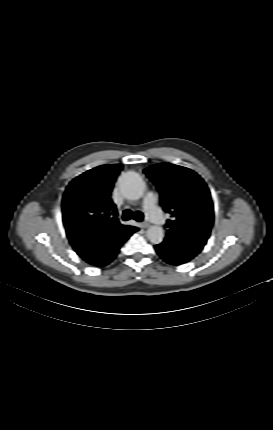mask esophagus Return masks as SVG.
I'll return each instance as SVG.
<instances>
[{
    "label": "esophagus",
    "instance_id": "34e87169",
    "mask_svg": "<svg viewBox=\"0 0 273 430\" xmlns=\"http://www.w3.org/2000/svg\"><path fill=\"white\" fill-rule=\"evenodd\" d=\"M141 226H142L143 228H148L150 225H149V223H148V222H142Z\"/></svg>",
    "mask_w": 273,
    "mask_h": 430
}]
</instances>
